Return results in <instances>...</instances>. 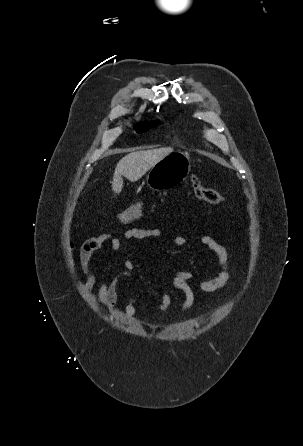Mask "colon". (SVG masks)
<instances>
[{
    "instance_id": "5ec220e1",
    "label": "colon",
    "mask_w": 303,
    "mask_h": 446,
    "mask_svg": "<svg viewBox=\"0 0 303 446\" xmlns=\"http://www.w3.org/2000/svg\"><path fill=\"white\" fill-rule=\"evenodd\" d=\"M190 184L197 199L214 205L223 202L222 196L215 189L205 186L197 176H190ZM144 210L145 204L137 203L119 213L117 221L121 225L129 224L140 217Z\"/></svg>"
}]
</instances>
